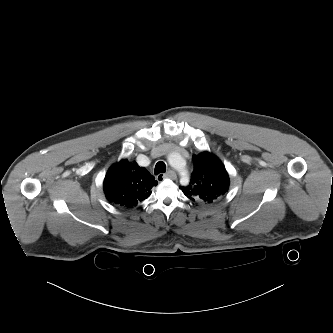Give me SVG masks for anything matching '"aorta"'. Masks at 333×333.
Returning <instances> with one entry per match:
<instances>
[{
  "label": "aorta",
  "mask_w": 333,
  "mask_h": 333,
  "mask_svg": "<svg viewBox=\"0 0 333 333\" xmlns=\"http://www.w3.org/2000/svg\"><path fill=\"white\" fill-rule=\"evenodd\" d=\"M168 162L171 167H173L176 170H180V164L182 162V157L177 153H172L168 156Z\"/></svg>",
  "instance_id": "1"
}]
</instances>
